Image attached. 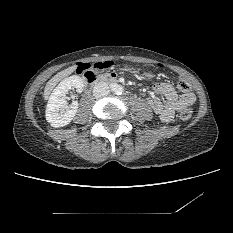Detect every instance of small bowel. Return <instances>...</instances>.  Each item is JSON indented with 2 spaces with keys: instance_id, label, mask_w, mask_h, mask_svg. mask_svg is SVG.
Returning <instances> with one entry per match:
<instances>
[{
  "instance_id": "small-bowel-1",
  "label": "small bowel",
  "mask_w": 233,
  "mask_h": 233,
  "mask_svg": "<svg viewBox=\"0 0 233 233\" xmlns=\"http://www.w3.org/2000/svg\"><path fill=\"white\" fill-rule=\"evenodd\" d=\"M109 62L111 61H100ZM112 67V66H111ZM111 76H115L111 74ZM162 96L164 99L160 100L158 96ZM148 104L152 110L160 117L164 122H170L176 111L183 110L187 103L184 98H180L174 87L168 83L158 84L148 95Z\"/></svg>"
}]
</instances>
